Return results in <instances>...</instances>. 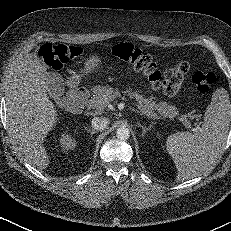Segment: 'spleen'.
Instances as JSON below:
<instances>
[{
	"instance_id": "3e777b00",
	"label": "spleen",
	"mask_w": 231,
	"mask_h": 231,
	"mask_svg": "<svg viewBox=\"0 0 231 231\" xmlns=\"http://www.w3.org/2000/svg\"><path fill=\"white\" fill-rule=\"evenodd\" d=\"M231 121V104L224 90L213 94L200 129L167 137L166 149L178 170L177 178L191 179L207 171L225 146Z\"/></svg>"
}]
</instances>
